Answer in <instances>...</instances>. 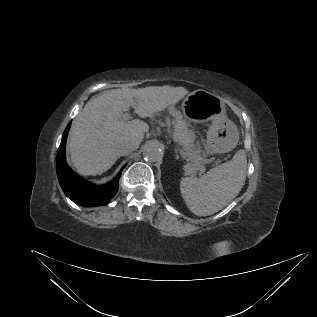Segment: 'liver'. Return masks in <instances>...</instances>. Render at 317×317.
<instances>
[{"mask_svg":"<svg viewBox=\"0 0 317 317\" xmlns=\"http://www.w3.org/2000/svg\"><path fill=\"white\" fill-rule=\"evenodd\" d=\"M187 94L184 87L164 85L113 89L89 100L69 133L68 148L73 166L85 176L106 172L119 157L116 151L119 144H140L149 130L148 124L139 119L126 121L122 112L131 106L141 118L153 117Z\"/></svg>","mask_w":317,"mask_h":317,"instance_id":"obj_1","label":"liver"}]
</instances>
